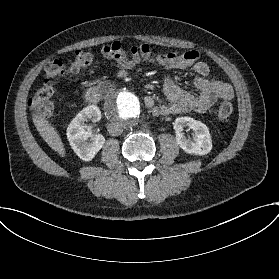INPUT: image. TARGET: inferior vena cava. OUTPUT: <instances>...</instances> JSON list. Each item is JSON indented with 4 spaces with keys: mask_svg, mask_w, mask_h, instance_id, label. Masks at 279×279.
Returning a JSON list of instances; mask_svg holds the SVG:
<instances>
[{
    "mask_svg": "<svg viewBox=\"0 0 279 279\" xmlns=\"http://www.w3.org/2000/svg\"><path fill=\"white\" fill-rule=\"evenodd\" d=\"M107 130L111 136H119L123 133V128L118 123H110L107 125Z\"/></svg>",
    "mask_w": 279,
    "mask_h": 279,
    "instance_id": "inferior-vena-cava-1",
    "label": "inferior vena cava"
}]
</instances>
